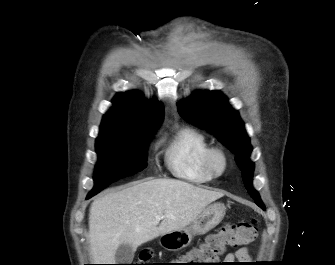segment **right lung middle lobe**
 Returning a JSON list of instances; mask_svg holds the SVG:
<instances>
[{
	"label": "right lung middle lobe",
	"instance_id": "dd1d6c3e",
	"mask_svg": "<svg viewBox=\"0 0 335 265\" xmlns=\"http://www.w3.org/2000/svg\"><path fill=\"white\" fill-rule=\"evenodd\" d=\"M158 126L118 129L100 133L96 140L99 156L94 172V196L111 183L143 170L150 136Z\"/></svg>",
	"mask_w": 335,
	"mask_h": 265
}]
</instances>
